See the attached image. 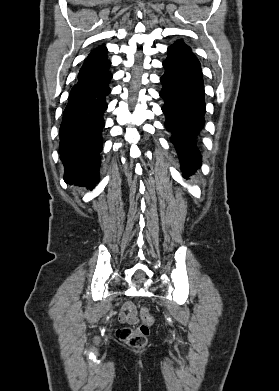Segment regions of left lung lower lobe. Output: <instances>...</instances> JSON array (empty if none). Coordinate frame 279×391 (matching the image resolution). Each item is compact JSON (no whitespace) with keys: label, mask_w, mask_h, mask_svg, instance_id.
Here are the masks:
<instances>
[{"label":"left lung lower lobe","mask_w":279,"mask_h":391,"mask_svg":"<svg viewBox=\"0 0 279 391\" xmlns=\"http://www.w3.org/2000/svg\"><path fill=\"white\" fill-rule=\"evenodd\" d=\"M163 67L160 96L165 101V127L172 134L183 173L190 175L201 165L196 146L206 112L201 65L192 52L170 46Z\"/></svg>","instance_id":"obj_1"}]
</instances>
